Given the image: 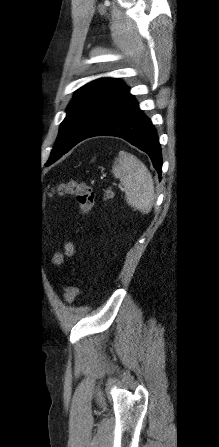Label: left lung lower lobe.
Instances as JSON below:
<instances>
[{"mask_svg": "<svg viewBox=\"0 0 219 447\" xmlns=\"http://www.w3.org/2000/svg\"><path fill=\"white\" fill-rule=\"evenodd\" d=\"M101 135L123 138L147 153L160 177L162 155L158 136L150 119L138 108L133 95L128 94L84 139ZM67 151L49 159L46 166L58 160Z\"/></svg>", "mask_w": 219, "mask_h": 447, "instance_id": "1", "label": "left lung lower lobe"}]
</instances>
